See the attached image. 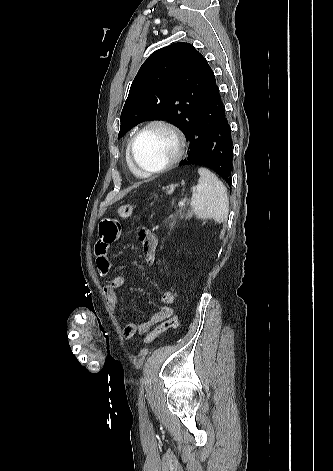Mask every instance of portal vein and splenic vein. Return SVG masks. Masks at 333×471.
Segmentation results:
<instances>
[{"instance_id":"18ae733b","label":"portal vein and splenic vein","mask_w":333,"mask_h":471,"mask_svg":"<svg viewBox=\"0 0 333 471\" xmlns=\"http://www.w3.org/2000/svg\"><path fill=\"white\" fill-rule=\"evenodd\" d=\"M185 203H186V200L182 199V200L179 201L178 206L183 207V206H185Z\"/></svg>"}]
</instances>
